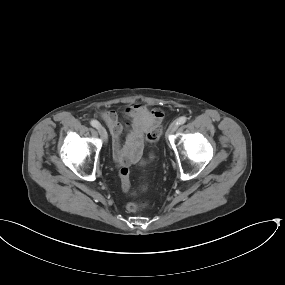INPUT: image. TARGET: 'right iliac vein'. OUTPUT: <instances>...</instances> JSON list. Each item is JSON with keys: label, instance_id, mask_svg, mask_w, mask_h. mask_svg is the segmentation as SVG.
Segmentation results:
<instances>
[{"label": "right iliac vein", "instance_id": "1", "mask_svg": "<svg viewBox=\"0 0 285 285\" xmlns=\"http://www.w3.org/2000/svg\"><path fill=\"white\" fill-rule=\"evenodd\" d=\"M97 129H98V132H99L101 138L106 142L108 139L106 129L102 125H99L97 127Z\"/></svg>", "mask_w": 285, "mask_h": 285}]
</instances>
